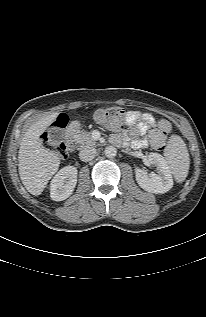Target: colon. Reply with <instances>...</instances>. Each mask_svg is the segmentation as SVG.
Returning a JSON list of instances; mask_svg holds the SVG:
<instances>
[{
    "mask_svg": "<svg viewBox=\"0 0 206 317\" xmlns=\"http://www.w3.org/2000/svg\"><path fill=\"white\" fill-rule=\"evenodd\" d=\"M96 121L104 127L111 130H120L128 120V113L119 107H111L100 109L95 114ZM68 122L67 117L61 116L56 121V126L64 127ZM44 143L48 147H52L51 137L49 134H44ZM58 154L65 158L68 154V149L63 143L56 148Z\"/></svg>",
    "mask_w": 206,
    "mask_h": 317,
    "instance_id": "obj_1",
    "label": "colon"
}]
</instances>
